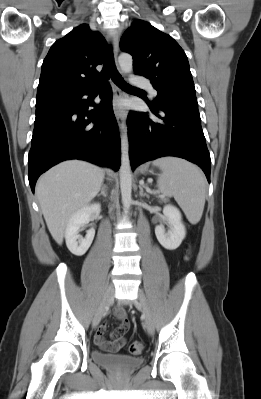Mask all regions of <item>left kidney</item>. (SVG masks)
I'll return each mask as SVG.
<instances>
[{"label": "left kidney", "mask_w": 261, "mask_h": 399, "mask_svg": "<svg viewBox=\"0 0 261 399\" xmlns=\"http://www.w3.org/2000/svg\"><path fill=\"white\" fill-rule=\"evenodd\" d=\"M163 214L168 221L169 231L165 232L163 225L155 227V235L159 243L167 250H175L182 243L186 236L185 226L182 223L180 211L172 206L166 205L163 208Z\"/></svg>", "instance_id": "left-kidney-1"}]
</instances>
